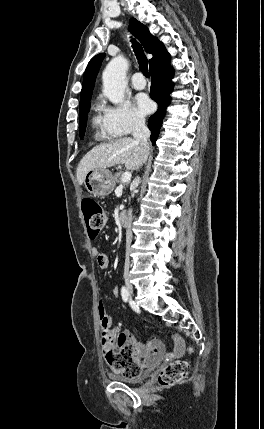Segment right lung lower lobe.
<instances>
[{"label":"right lung lower lobe","instance_id":"right-lung-lower-lobe-1","mask_svg":"<svg viewBox=\"0 0 264 429\" xmlns=\"http://www.w3.org/2000/svg\"><path fill=\"white\" fill-rule=\"evenodd\" d=\"M170 61L171 56L166 52L149 69L152 79L150 96L158 104V110L148 119L149 129L152 131L150 138L153 145H155L158 138L166 108L171 101L170 93L174 86L171 79L174 76V71L170 66Z\"/></svg>","mask_w":264,"mask_h":429}]
</instances>
